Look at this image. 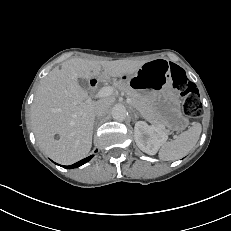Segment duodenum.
<instances>
[{
    "mask_svg": "<svg viewBox=\"0 0 231 231\" xmlns=\"http://www.w3.org/2000/svg\"><path fill=\"white\" fill-rule=\"evenodd\" d=\"M107 80H109L108 77H103V78H101V79H93V80L91 81V85L94 87L98 81H107Z\"/></svg>",
    "mask_w": 231,
    "mask_h": 231,
    "instance_id": "410a0bca",
    "label": "duodenum"
}]
</instances>
